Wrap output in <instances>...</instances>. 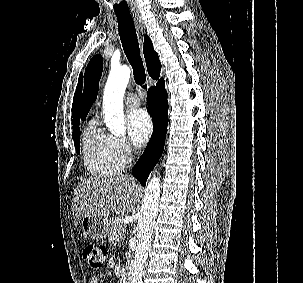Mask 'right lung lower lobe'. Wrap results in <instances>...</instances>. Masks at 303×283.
<instances>
[{"instance_id": "right-lung-lower-lobe-1", "label": "right lung lower lobe", "mask_w": 303, "mask_h": 283, "mask_svg": "<svg viewBox=\"0 0 303 283\" xmlns=\"http://www.w3.org/2000/svg\"><path fill=\"white\" fill-rule=\"evenodd\" d=\"M149 113L153 119V134L144 153L133 167V176L144 186L150 172L159 161L164 148L168 124V102L164 80L151 87L147 94Z\"/></svg>"}]
</instances>
